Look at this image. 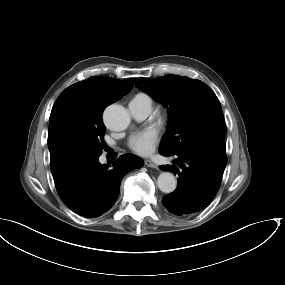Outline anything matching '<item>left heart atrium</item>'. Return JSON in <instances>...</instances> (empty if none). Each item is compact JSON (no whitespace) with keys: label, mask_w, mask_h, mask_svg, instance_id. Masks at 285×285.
I'll list each match as a JSON object with an SVG mask.
<instances>
[{"label":"left heart atrium","mask_w":285,"mask_h":285,"mask_svg":"<svg viewBox=\"0 0 285 285\" xmlns=\"http://www.w3.org/2000/svg\"><path fill=\"white\" fill-rule=\"evenodd\" d=\"M160 134L156 128H146L133 132L129 139V148L136 154L145 156L153 152Z\"/></svg>","instance_id":"1"}]
</instances>
